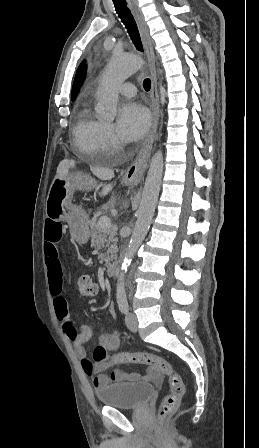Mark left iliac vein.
<instances>
[{
  "mask_svg": "<svg viewBox=\"0 0 259 448\" xmlns=\"http://www.w3.org/2000/svg\"><path fill=\"white\" fill-rule=\"evenodd\" d=\"M125 323L128 329L132 332H136L138 328L137 317L133 312H127L125 316Z\"/></svg>",
  "mask_w": 259,
  "mask_h": 448,
  "instance_id": "4c4485c4",
  "label": "left iliac vein"
}]
</instances>
